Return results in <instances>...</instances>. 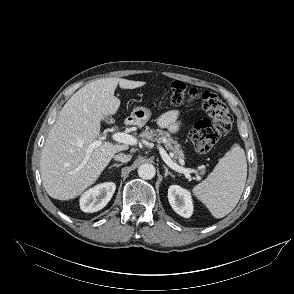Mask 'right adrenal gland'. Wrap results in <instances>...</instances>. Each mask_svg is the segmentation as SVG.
<instances>
[{
    "label": "right adrenal gland",
    "instance_id": "1",
    "mask_svg": "<svg viewBox=\"0 0 294 294\" xmlns=\"http://www.w3.org/2000/svg\"><path fill=\"white\" fill-rule=\"evenodd\" d=\"M122 164H117V163H115V164H113V165H111L110 167H109V169H111V168H113V167H120Z\"/></svg>",
    "mask_w": 294,
    "mask_h": 294
}]
</instances>
